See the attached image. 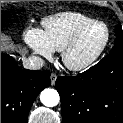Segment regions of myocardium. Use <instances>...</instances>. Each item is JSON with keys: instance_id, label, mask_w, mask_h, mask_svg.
<instances>
[{"instance_id": "myocardium-1", "label": "myocardium", "mask_w": 123, "mask_h": 123, "mask_svg": "<svg viewBox=\"0 0 123 123\" xmlns=\"http://www.w3.org/2000/svg\"><path fill=\"white\" fill-rule=\"evenodd\" d=\"M96 25L103 26L106 31V37H105L103 44L98 49V51L87 61L83 63H79V64L72 63L69 60V55L71 51L77 45V43L79 42L81 37L85 34V32H87L90 28ZM110 36L111 35H110V30L108 26L102 21L94 20L93 22L83 26L73 35V37L68 41V43L64 46V48L61 51V59H62L64 66L71 71H83V70L88 69L89 67L94 65L97 62V60L101 57V55L104 53V51L106 50L109 44Z\"/></svg>"}]
</instances>
